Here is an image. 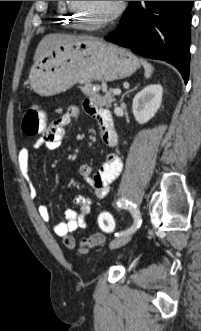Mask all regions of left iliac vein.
<instances>
[{"label": "left iliac vein", "mask_w": 201, "mask_h": 331, "mask_svg": "<svg viewBox=\"0 0 201 331\" xmlns=\"http://www.w3.org/2000/svg\"><path fill=\"white\" fill-rule=\"evenodd\" d=\"M132 238V233H128L122 236H118L116 238H114L111 242H110V248L111 249H116L119 248L125 244H127Z\"/></svg>", "instance_id": "1"}]
</instances>
